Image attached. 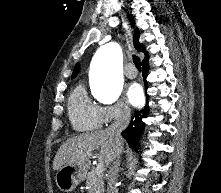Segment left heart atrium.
<instances>
[{"mask_svg": "<svg viewBox=\"0 0 221 193\" xmlns=\"http://www.w3.org/2000/svg\"><path fill=\"white\" fill-rule=\"evenodd\" d=\"M125 96L126 100L133 106H139L143 101L142 89L137 83L129 85Z\"/></svg>", "mask_w": 221, "mask_h": 193, "instance_id": "1", "label": "left heart atrium"}]
</instances>
